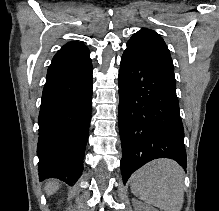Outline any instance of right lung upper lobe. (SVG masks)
<instances>
[{
    "instance_id": "cb5924a9",
    "label": "right lung upper lobe",
    "mask_w": 219,
    "mask_h": 211,
    "mask_svg": "<svg viewBox=\"0 0 219 211\" xmlns=\"http://www.w3.org/2000/svg\"><path fill=\"white\" fill-rule=\"evenodd\" d=\"M89 57V50L80 42H69L54 56L53 61L80 60Z\"/></svg>"
}]
</instances>
